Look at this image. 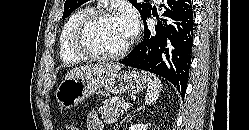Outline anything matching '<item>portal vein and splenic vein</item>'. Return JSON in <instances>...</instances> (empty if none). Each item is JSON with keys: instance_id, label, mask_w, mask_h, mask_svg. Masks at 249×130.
Segmentation results:
<instances>
[{"instance_id": "obj_1", "label": "portal vein and splenic vein", "mask_w": 249, "mask_h": 130, "mask_svg": "<svg viewBox=\"0 0 249 130\" xmlns=\"http://www.w3.org/2000/svg\"><path fill=\"white\" fill-rule=\"evenodd\" d=\"M121 108L124 109V110H127L129 108V104L128 103H122Z\"/></svg>"}]
</instances>
